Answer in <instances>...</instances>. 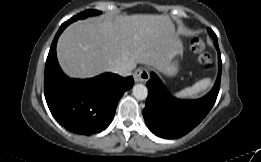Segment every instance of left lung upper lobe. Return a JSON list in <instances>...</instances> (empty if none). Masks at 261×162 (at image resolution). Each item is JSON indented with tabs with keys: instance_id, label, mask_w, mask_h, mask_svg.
<instances>
[{
	"instance_id": "left-lung-upper-lobe-1",
	"label": "left lung upper lobe",
	"mask_w": 261,
	"mask_h": 162,
	"mask_svg": "<svg viewBox=\"0 0 261 162\" xmlns=\"http://www.w3.org/2000/svg\"><path fill=\"white\" fill-rule=\"evenodd\" d=\"M208 32H209V34L211 35V37H212L215 41H217V37H216L215 33H214L210 28H208Z\"/></svg>"
}]
</instances>
